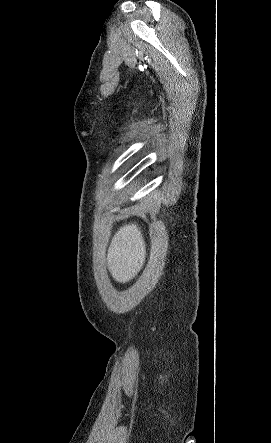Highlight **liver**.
Segmentation results:
<instances>
[{
  "mask_svg": "<svg viewBox=\"0 0 271 443\" xmlns=\"http://www.w3.org/2000/svg\"><path fill=\"white\" fill-rule=\"evenodd\" d=\"M144 237L137 223H125L107 249L108 269L115 281L126 283L142 269L146 259Z\"/></svg>",
  "mask_w": 271,
  "mask_h": 443,
  "instance_id": "liver-1",
  "label": "liver"
}]
</instances>
